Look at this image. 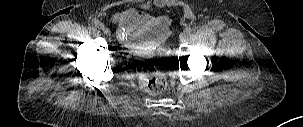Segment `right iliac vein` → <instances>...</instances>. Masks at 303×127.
I'll list each match as a JSON object with an SVG mask.
<instances>
[{
  "label": "right iliac vein",
  "mask_w": 303,
  "mask_h": 127,
  "mask_svg": "<svg viewBox=\"0 0 303 127\" xmlns=\"http://www.w3.org/2000/svg\"><path fill=\"white\" fill-rule=\"evenodd\" d=\"M102 30H103V32H104L107 36H110L111 32H110V30H109L108 28H105V27H104Z\"/></svg>",
  "instance_id": "63e3f726"
}]
</instances>
